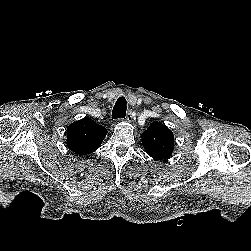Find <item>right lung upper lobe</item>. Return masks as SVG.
I'll use <instances>...</instances> for the list:
<instances>
[{"label":"right lung upper lobe","instance_id":"obj_1","mask_svg":"<svg viewBox=\"0 0 251 251\" xmlns=\"http://www.w3.org/2000/svg\"><path fill=\"white\" fill-rule=\"evenodd\" d=\"M106 134V128L85 117L68 126L67 147L77 155H88L100 147Z\"/></svg>","mask_w":251,"mask_h":251}]
</instances>
